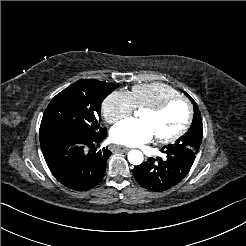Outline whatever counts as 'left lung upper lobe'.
<instances>
[{
    "instance_id": "5c2ea615",
    "label": "left lung upper lobe",
    "mask_w": 246,
    "mask_h": 246,
    "mask_svg": "<svg viewBox=\"0 0 246 246\" xmlns=\"http://www.w3.org/2000/svg\"><path fill=\"white\" fill-rule=\"evenodd\" d=\"M185 95L191 100L194 107V117L191 127L183 136L177 139L174 144H169L166 147L187 148L197 154L203 136L202 118L196 102L187 93H185Z\"/></svg>"
}]
</instances>
